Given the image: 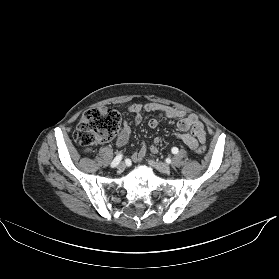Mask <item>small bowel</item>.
Returning a JSON list of instances; mask_svg holds the SVG:
<instances>
[{
    "instance_id": "1",
    "label": "small bowel",
    "mask_w": 279,
    "mask_h": 279,
    "mask_svg": "<svg viewBox=\"0 0 279 279\" xmlns=\"http://www.w3.org/2000/svg\"><path fill=\"white\" fill-rule=\"evenodd\" d=\"M127 110L134 115V122L140 124L142 121V113L145 112H158V115L152 117L148 121V126L151 129H155L161 120V118L177 119V127L179 132L176 137L186 144L190 149L194 150L196 146L204 145L206 141V131L201 120L194 114H187L182 110H178L171 106L156 102L148 103H132L128 105ZM130 137V127L125 124L118 139L117 146L123 147L127 144ZM159 139L154 140V144L151 147L152 152L157 151ZM146 145L144 143L138 148L133 155L134 161H141L145 155Z\"/></svg>"
}]
</instances>
